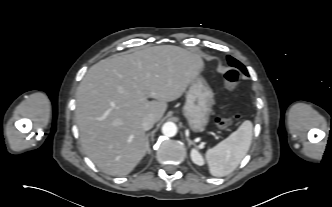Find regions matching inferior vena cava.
I'll list each match as a JSON object with an SVG mask.
<instances>
[{"instance_id":"602c4592","label":"inferior vena cava","mask_w":332,"mask_h":207,"mask_svg":"<svg viewBox=\"0 0 332 207\" xmlns=\"http://www.w3.org/2000/svg\"><path fill=\"white\" fill-rule=\"evenodd\" d=\"M156 120L153 115H147L142 119V127L145 131L151 129L155 124Z\"/></svg>"}]
</instances>
